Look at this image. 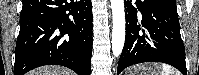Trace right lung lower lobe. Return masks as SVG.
I'll return each mask as SVG.
<instances>
[{
	"instance_id": "1",
	"label": "right lung lower lobe",
	"mask_w": 199,
	"mask_h": 75,
	"mask_svg": "<svg viewBox=\"0 0 199 75\" xmlns=\"http://www.w3.org/2000/svg\"><path fill=\"white\" fill-rule=\"evenodd\" d=\"M14 75L43 65L90 75L91 0H22Z\"/></svg>"
}]
</instances>
